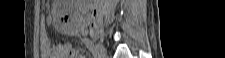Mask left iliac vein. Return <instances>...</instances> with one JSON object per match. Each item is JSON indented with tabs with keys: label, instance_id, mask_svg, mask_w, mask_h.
<instances>
[{
	"label": "left iliac vein",
	"instance_id": "1",
	"mask_svg": "<svg viewBox=\"0 0 225 58\" xmlns=\"http://www.w3.org/2000/svg\"><path fill=\"white\" fill-rule=\"evenodd\" d=\"M95 52H96L98 58H104L106 56V53H107L104 45L100 44V43L95 45Z\"/></svg>",
	"mask_w": 225,
	"mask_h": 58
}]
</instances>
